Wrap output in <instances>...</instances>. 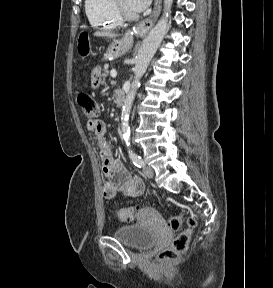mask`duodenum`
<instances>
[{
    "label": "duodenum",
    "instance_id": "obj_1",
    "mask_svg": "<svg viewBox=\"0 0 273 288\" xmlns=\"http://www.w3.org/2000/svg\"><path fill=\"white\" fill-rule=\"evenodd\" d=\"M126 99V95L123 91H117L115 94V100L118 105H123Z\"/></svg>",
    "mask_w": 273,
    "mask_h": 288
}]
</instances>
